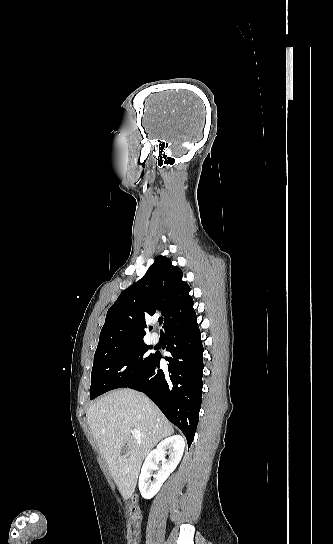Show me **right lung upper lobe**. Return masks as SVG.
Instances as JSON below:
<instances>
[{"mask_svg":"<svg viewBox=\"0 0 333 544\" xmlns=\"http://www.w3.org/2000/svg\"><path fill=\"white\" fill-rule=\"evenodd\" d=\"M182 277V270L173 266L169 258L157 256L144 277L124 290L110 307L99 342L144 337L145 317L156 309L162 310L165 329L195 313L190 286Z\"/></svg>","mask_w":333,"mask_h":544,"instance_id":"1","label":"right lung upper lobe"}]
</instances>
